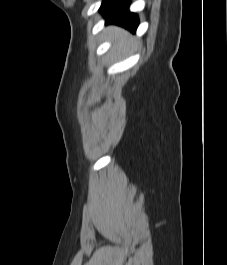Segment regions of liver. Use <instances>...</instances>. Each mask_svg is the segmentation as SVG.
Segmentation results:
<instances>
[{"mask_svg": "<svg viewBox=\"0 0 227 265\" xmlns=\"http://www.w3.org/2000/svg\"><path fill=\"white\" fill-rule=\"evenodd\" d=\"M108 30L115 33V38L117 39L116 48L118 50L123 49L126 45H129L131 43V40L127 39V35L124 30L117 27H110Z\"/></svg>", "mask_w": 227, "mask_h": 265, "instance_id": "obj_1", "label": "liver"}]
</instances>
